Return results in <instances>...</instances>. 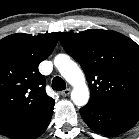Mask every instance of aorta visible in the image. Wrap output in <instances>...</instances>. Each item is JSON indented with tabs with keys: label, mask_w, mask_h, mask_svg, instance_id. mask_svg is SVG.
Instances as JSON below:
<instances>
[{
	"label": "aorta",
	"mask_w": 139,
	"mask_h": 139,
	"mask_svg": "<svg viewBox=\"0 0 139 139\" xmlns=\"http://www.w3.org/2000/svg\"><path fill=\"white\" fill-rule=\"evenodd\" d=\"M55 66L65 80L73 86L71 99L76 106L82 107L89 101V89L79 66L65 54H59L54 60Z\"/></svg>",
	"instance_id": "1"
}]
</instances>
